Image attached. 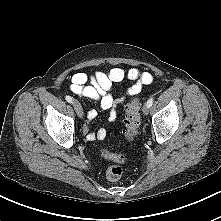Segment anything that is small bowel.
Wrapping results in <instances>:
<instances>
[{"instance_id":"1","label":"small bowel","mask_w":221,"mask_h":221,"mask_svg":"<svg viewBox=\"0 0 221 221\" xmlns=\"http://www.w3.org/2000/svg\"><path fill=\"white\" fill-rule=\"evenodd\" d=\"M125 79L132 81L133 84L127 87L118 98H114L110 93L113 84ZM153 80L154 77L150 72L142 71L137 67L127 70L116 67L108 73L96 72L92 76L81 72L75 73L71 78L69 88L77 96L98 101L101 109L107 112V120L113 122L117 118V104L137 95L143 85L151 84ZM96 115L95 110L88 111V121L93 120ZM83 132L89 141L103 140L107 135L105 129L90 132L88 124L84 125Z\"/></svg>"}]
</instances>
